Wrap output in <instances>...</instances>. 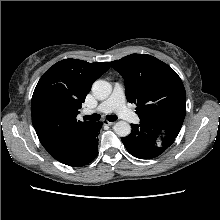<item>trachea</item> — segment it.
Listing matches in <instances>:
<instances>
[{
    "mask_svg": "<svg viewBox=\"0 0 220 220\" xmlns=\"http://www.w3.org/2000/svg\"><path fill=\"white\" fill-rule=\"evenodd\" d=\"M107 120L110 122L116 121L117 116L115 115H107ZM85 120H90V121H99L101 116L99 114H92V115H86L83 117Z\"/></svg>",
    "mask_w": 220,
    "mask_h": 220,
    "instance_id": "1",
    "label": "trachea"
}]
</instances>
